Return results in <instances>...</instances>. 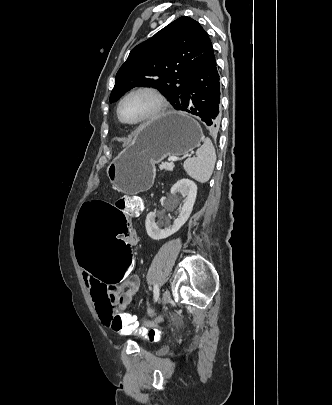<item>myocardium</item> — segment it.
<instances>
[{
	"instance_id": "myocardium-1",
	"label": "myocardium",
	"mask_w": 332,
	"mask_h": 405,
	"mask_svg": "<svg viewBox=\"0 0 332 405\" xmlns=\"http://www.w3.org/2000/svg\"><path fill=\"white\" fill-rule=\"evenodd\" d=\"M139 92H146V93L151 94L157 102L156 107L151 114H149L148 116H146L142 119H139L136 121H127L121 115V106H122L123 102L129 96H131L135 93H139ZM166 109H167V101H166V98L164 97V95L157 88L144 85V86H138L136 88H133L132 90H130L126 94H124L117 104L116 113H117L118 119L123 124L130 125V126H136V125L146 124V123H149V122H152V121L158 119L166 111Z\"/></svg>"
}]
</instances>
